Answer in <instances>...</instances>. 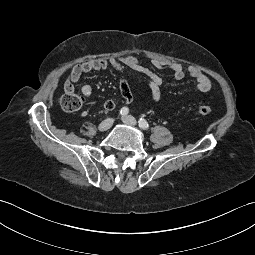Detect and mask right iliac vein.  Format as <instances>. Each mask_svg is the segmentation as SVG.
<instances>
[{
    "instance_id": "obj_1",
    "label": "right iliac vein",
    "mask_w": 255,
    "mask_h": 255,
    "mask_svg": "<svg viewBox=\"0 0 255 255\" xmlns=\"http://www.w3.org/2000/svg\"><path fill=\"white\" fill-rule=\"evenodd\" d=\"M114 120L112 118H107L100 123L98 130L101 132L107 131L113 124Z\"/></svg>"
}]
</instances>
